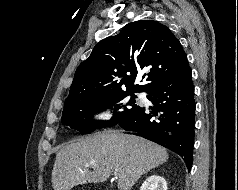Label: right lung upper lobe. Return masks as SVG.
Listing matches in <instances>:
<instances>
[{
	"label": "right lung upper lobe",
	"instance_id": "obj_1",
	"mask_svg": "<svg viewBox=\"0 0 238 190\" xmlns=\"http://www.w3.org/2000/svg\"><path fill=\"white\" fill-rule=\"evenodd\" d=\"M186 63V53L167 26L153 20L129 23L120 34L99 42L79 65L64 108L82 94L148 93ZM138 73H144L143 85L133 84Z\"/></svg>",
	"mask_w": 238,
	"mask_h": 190
}]
</instances>
